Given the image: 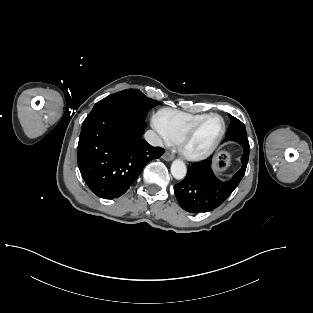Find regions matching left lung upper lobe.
<instances>
[{
    "label": "left lung upper lobe",
    "mask_w": 313,
    "mask_h": 313,
    "mask_svg": "<svg viewBox=\"0 0 313 313\" xmlns=\"http://www.w3.org/2000/svg\"><path fill=\"white\" fill-rule=\"evenodd\" d=\"M229 118L231 119V124L228 127L226 132V137L236 136V135H245L246 136V129L245 125L238 120L237 118L233 117L229 114Z\"/></svg>",
    "instance_id": "1"
}]
</instances>
